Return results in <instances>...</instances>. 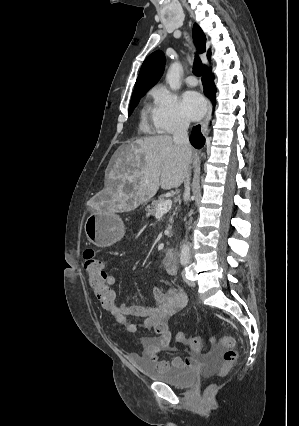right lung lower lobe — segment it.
I'll list each match as a JSON object with an SVG mask.
<instances>
[{
  "mask_svg": "<svg viewBox=\"0 0 299 426\" xmlns=\"http://www.w3.org/2000/svg\"><path fill=\"white\" fill-rule=\"evenodd\" d=\"M214 78L211 74L210 69L207 67L204 69V74L202 77V82L204 86V92L205 94L211 99L213 102V105L215 106L216 102V87L213 82ZM200 125H197L193 127L192 133L190 135V142L195 148H201L205 143V138L202 136V133L200 132Z\"/></svg>",
  "mask_w": 299,
  "mask_h": 426,
  "instance_id": "right-lung-lower-lobe-1",
  "label": "right lung lower lobe"
}]
</instances>
